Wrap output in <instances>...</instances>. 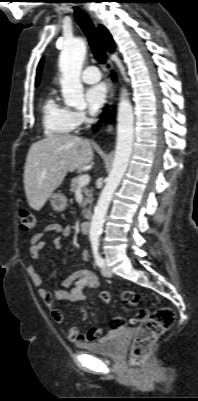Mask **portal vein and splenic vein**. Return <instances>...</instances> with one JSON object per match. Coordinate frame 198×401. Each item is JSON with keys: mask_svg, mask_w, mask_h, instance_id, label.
<instances>
[{"mask_svg": "<svg viewBox=\"0 0 198 401\" xmlns=\"http://www.w3.org/2000/svg\"><path fill=\"white\" fill-rule=\"evenodd\" d=\"M90 181V176L88 174H84L79 179V187L85 186Z\"/></svg>", "mask_w": 198, "mask_h": 401, "instance_id": "1", "label": "portal vein and splenic vein"}]
</instances>
